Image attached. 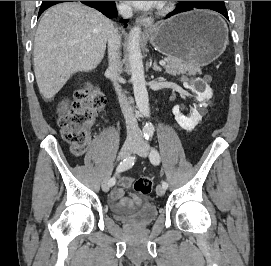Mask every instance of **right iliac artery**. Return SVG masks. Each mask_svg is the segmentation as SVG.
Wrapping results in <instances>:
<instances>
[{
    "mask_svg": "<svg viewBox=\"0 0 271 266\" xmlns=\"http://www.w3.org/2000/svg\"><path fill=\"white\" fill-rule=\"evenodd\" d=\"M134 161H135V157H133V156L126 157L123 161L120 162V164L116 168L115 176L118 175L119 173L131 168L134 165ZM115 176L110 178V180H109L110 186H113L115 184V182H116Z\"/></svg>",
    "mask_w": 271,
    "mask_h": 266,
    "instance_id": "1",
    "label": "right iliac artery"
}]
</instances>
